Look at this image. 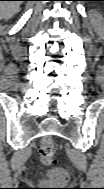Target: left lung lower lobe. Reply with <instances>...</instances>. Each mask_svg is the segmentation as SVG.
<instances>
[{"mask_svg":"<svg viewBox=\"0 0 104 189\" xmlns=\"http://www.w3.org/2000/svg\"><path fill=\"white\" fill-rule=\"evenodd\" d=\"M85 1H103V0H85Z\"/></svg>","mask_w":104,"mask_h":189,"instance_id":"0a47b994","label":"left lung lower lobe"}]
</instances>
